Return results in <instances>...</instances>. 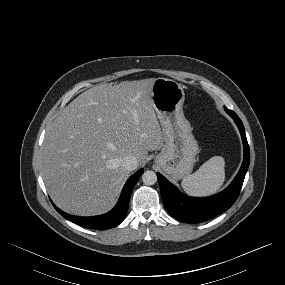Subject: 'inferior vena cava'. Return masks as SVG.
<instances>
[{
  "instance_id": "602c4592",
  "label": "inferior vena cava",
  "mask_w": 285,
  "mask_h": 285,
  "mask_svg": "<svg viewBox=\"0 0 285 285\" xmlns=\"http://www.w3.org/2000/svg\"><path fill=\"white\" fill-rule=\"evenodd\" d=\"M122 165L129 171H133L138 167V160L134 155H128L123 158Z\"/></svg>"
}]
</instances>
